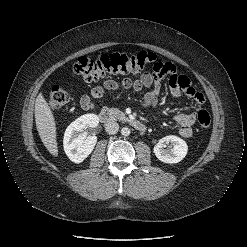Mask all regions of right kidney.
<instances>
[{
    "label": "right kidney",
    "instance_id": "obj_1",
    "mask_svg": "<svg viewBox=\"0 0 247 247\" xmlns=\"http://www.w3.org/2000/svg\"><path fill=\"white\" fill-rule=\"evenodd\" d=\"M99 117L95 114H85L73 121L66 129L63 147L68 158L74 163L83 162L93 151L97 137L80 134L87 127H97Z\"/></svg>",
    "mask_w": 247,
    "mask_h": 247
}]
</instances>
